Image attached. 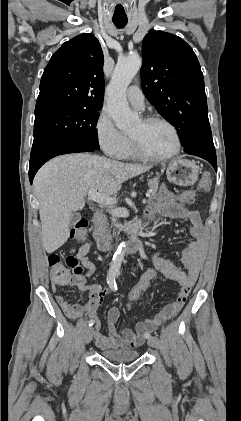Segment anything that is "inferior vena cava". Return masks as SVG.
I'll return each instance as SVG.
<instances>
[{"mask_svg":"<svg viewBox=\"0 0 241 421\" xmlns=\"http://www.w3.org/2000/svg\"><path fill=\"white\" fill-rule=\"evenodd\" d=\"M96 215L98 217L99 225L105 233L106 239L110 241L111 235L108 230V222L106 216L102 213V211L96 212Z\"/></svg>","mask_w":241,"mask_h":421,"instance_id":"1","label":"inferior vena cava"}]
</instances>
